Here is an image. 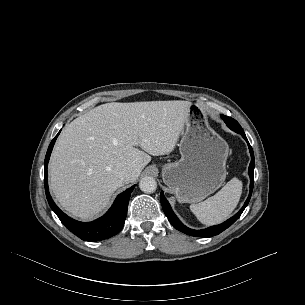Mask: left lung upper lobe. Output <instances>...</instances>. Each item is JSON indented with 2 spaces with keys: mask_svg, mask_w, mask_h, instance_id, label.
<instances>
[{
  "mask_svg": "<svg viewBox=\"0 0 305 305\" xmlns=\"http://www.w3.org/2000/svg\"><path fill=\"white\" fill-rule=\"evenodd\" d=\"M222 118L230 129L234 130L237 133L244 132L242 127L240 126V124L233 118L225 116V115H222Z\"/></svg>",
  "mask_w": 305,
  "mask_h": 305,
  "instance_id": "left-lung-upper-lobe-1",
  "label": "left lung upper lobe"
}]
</instances>
